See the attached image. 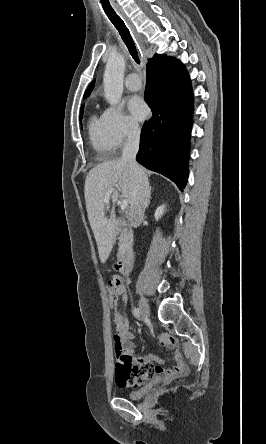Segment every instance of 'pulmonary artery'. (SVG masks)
<instances>
[{"label":"pulmonary artery","mask_w":266,"mask_h":444,"mask_svg":"<svg viewBox=\"0 0 266 444\" xmlns=\"http://www.w3.org/2000/svg\"><path fill=\"white\" fill-rule=\"evenodd\" d=\"M125 86L131 91H137L141 88L142 84L138 74L131 73L125 79Z\"/></svg>","instance_id":"e3ab8cb5"}]
</instances>
